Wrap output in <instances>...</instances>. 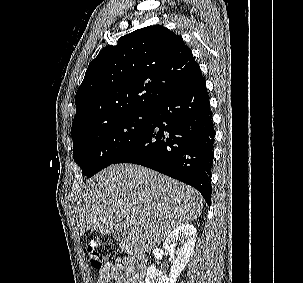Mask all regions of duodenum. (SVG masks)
Returning <instances> with one entry per match:
<instances>
[{
  "label": "duodenum",
  "mask_w": 303,
  "mask_h": 283,
  "mask_svg": "<svg viewBox=\"0 0 303 283\" xmlns=\"http://www.w3.org/2000/svg\"><path fill=\"white\" fill-rule=\"evenodd\" d=\"M135 258H136L137 267H138L139 271L145 275V272L147 269L146 257L142 253L138 252L135 254Z\"/></svg>",
  "instance_id": "1"
}]
</instances>
